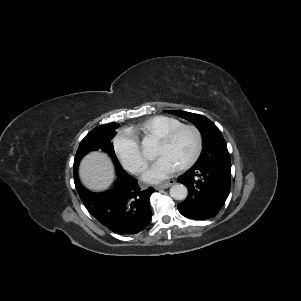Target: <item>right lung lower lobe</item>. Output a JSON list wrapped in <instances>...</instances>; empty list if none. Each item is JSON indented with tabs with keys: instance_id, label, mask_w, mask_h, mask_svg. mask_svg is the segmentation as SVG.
Listing matches in <instances>:
<instances>
[{
	"instance_id": "1",
	"label": "right lung lower lobe",
	"mask_w": 301,
	"mask_h": 301,
	"mask_svg": "<svg viewBox=\"0 0 301 301\" xmlns=\"http://www.w3.org/2000/svg\"><path fill=\"white\" fill-rule=\"evenodd\" d=\"M117 180L114 188L102 193L84 189L74 171V181L87 210L105 227L120 235H133L142 231L151 221L149 199L152 187L142 190L137 180L116 166Z\"/></svg>"
}]
</instances>
